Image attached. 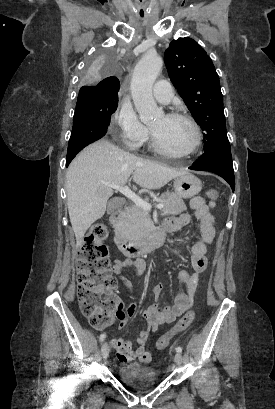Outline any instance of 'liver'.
Returning a JSON list of instances; mask_svg holds the SVG:
<instances>
[{
    "instance_id": "liver-1",
    "label": "liver",
    "mask_w": 275,
    "mask_h": 409,
    "mask_svg": "<svg viewBox=\"0 0 275 409\" xmlns=\"http://www.w3.org/2000/svg\"><path fill=\"white\" fill-rule=\"evenodd\" d=\"M132 172L139 186L161 188L175 176L187 174L188 170H175L135 156L106 138L83 148L70 162L66 174L68 213L76 247L81 245L87 229L106 211L113 188L104 182L123 186Z\"/></svg>"
}]
</instances>
